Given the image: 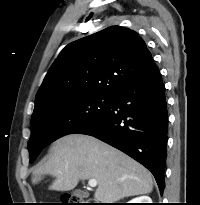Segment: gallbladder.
I'll return each mask as SVG.
<instances>
[{
	"label": "gallbladder",
	"instance_id": "obj_1",
	"mask_svg": "<svg viewBox=\"0 0 200 205\" xmlns=\"http://www.w3.org/2000/svg\"><path fill=\"white\" fill-rule=\"evenodd\" d=\"M73 194H74L75 196H77V197L87 196V194H86L85 192L81 191V190H75V191L73 192Z\"/></svg>",
	"mask_w": 200,
	"mask_h": 205
}]
</instances>
